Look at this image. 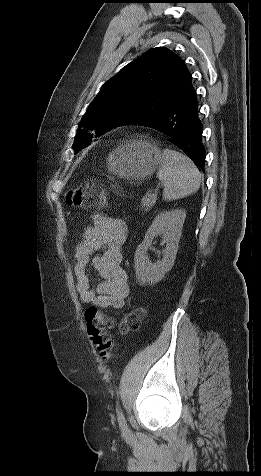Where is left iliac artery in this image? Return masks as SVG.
<instances>
[{
	"mask_svg": "<svg viewBox=\"0 0 261 476\" xmlns=\"http://www.w3.org/2000/svg\"><path fill=\"white\" fill-rule=\"evenodd\" d=\"M117 416H118V422H119L120 426L123 429H125L127 424H126V420H125V417H124L123 412L121 411V409H118Z\"/></svg>",
	"mask_w": 261,
	"mask_h": 476,
	"instance_id": "obj_1",
	"label": "left iliac artery"
}]
</instances>
